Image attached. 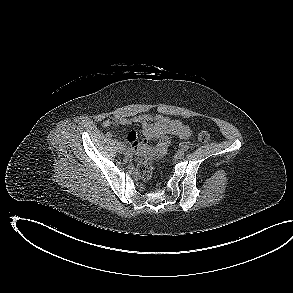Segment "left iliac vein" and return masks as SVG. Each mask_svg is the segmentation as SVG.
Wrapping results in <instances>:
<instances>
[{
    "label": "left iliac vein",
    "mask_w": 293,
    "mask_h": 293,
    "mask_svg": "<svg viewBox=\"0 0 293 293\" xmlns=\"http://www.w3.org/2000/svg\"><path fill=\"white\" fill-rule=\"evenodd\" d=\"M184 155H185L184 151L179 150V151L176 153V158H178V159H183V158H184Z\"/></svg>",
    "instance_id": "4c4485c4"
}]
</instances>
